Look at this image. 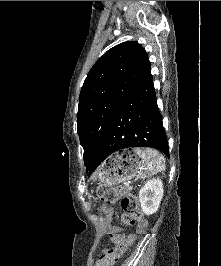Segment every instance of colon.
<instances>
[{
	"instance_id": "5ec220e1",
	"label": "colon",
	"mask_w": 221,
	"mask_h": 266,
	"mask_svg": "<svg viewBox=\"0 0 221 266\" xmlns=\"http://www.w3.org/2000/svg\"><path fill=\"white\" fill-rule=\"evenodd\" d=\"M99 199L106 204H113L120 198V206L123 210L122 221L128 226H136L139 232H144L147 228V221L138 207L136 198L131 194L120 196L119 189L101 185L97 191ZM118 243L105 249L101 254L97 266H112L123 255L127 247L131 244L133 237L117 238Z\"/></svg>"
}]
</instances>
